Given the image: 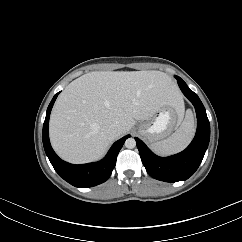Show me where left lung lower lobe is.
<instances>
[{"label":"left lung lower lobe","instance_id":"obj_1","mask_svg":"<svg viewBox=\"0 0 242 242\" xmlns=\"http://www.w3.org/2000/svg\"><path fill=\"white\" fill-rule=\"evenodd\" d=\"M176 79L183 94L194 105L197 114V131L191 144L181 153L162 158L152 153L139 138H135L148 174L165 182L182 181L192 176L199 167L210 140V124L201 100L180 77L176 76Z\"/></svg>","mask_w":242,"mask_h":242}]
</instances>
